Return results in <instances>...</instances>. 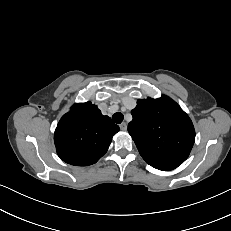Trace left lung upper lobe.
Here are the masks:
<instances>
[{"label": "left lung upper lobe", "mask_w": 231, "mask_h": 231, "mask_svg": "<svg viewBox=\"0 0 231 231\" xmlns=\"http://www.w3.org/2000/svg\"><path fill=\"white\" fill-rule=\"evenodd\" d=\"M128 124L142 158L152 167L169 171L189 156L195 130L189 116L166 95L138 100Z\"/></svg>", "instance_id": "5c2ea615"}]
</instances>
